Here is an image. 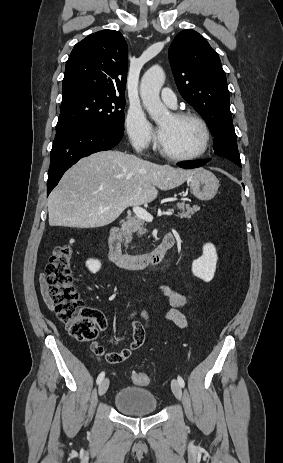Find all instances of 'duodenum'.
I'll list each match as a JSON object with an SVG mask.
<instances>
[{
    "label": "duodenum",
    "mask_w": 283,
    "mask_h": 463,
    "mask_svg": "<svg viewBox=\"0 0 283 463\" xmlns=\"http://www.w3.org/2000/svg\"><path fill=\"white\" fill-rule=\"evenodd\" d=\"M122 232L117 226L109 230V257L120 268L142 270L149 265L158 266L166 258V254L175 244L173 233H167L155 250L148 255L135 256L122 252Z\"/></svg>",
    "instance_id": "410a0bca"
}]
</instances>
